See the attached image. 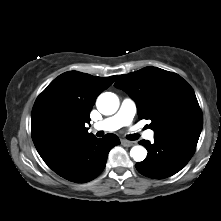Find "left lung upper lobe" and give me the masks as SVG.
Masks as SVG:
<instances>
[{"label": "left lung upper lobe", "mask_w": 221, "mask_h": 221, "mask_svg": "<svg viewBox=\"0 0 221 221\" xmlns=\"http://www.w3.org/2000/svg\"><path fill=\"white\" fill-rule=\"evenodd\" d=\"M115 87L137 104L140 119H150L154 137L178 133L200 134L203 116L192 87L178 74L145 67L120 75Z\"/></svg>", "instance_id": "left-lung-upper-lobe-1"}]
</instances>
